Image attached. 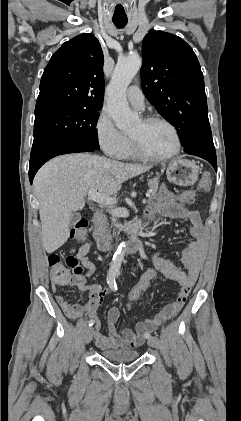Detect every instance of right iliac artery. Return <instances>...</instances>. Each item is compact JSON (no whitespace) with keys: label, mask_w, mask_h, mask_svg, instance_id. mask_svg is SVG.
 <instances>
[{"label":"right iliac artery","mask_w":241,"mask_h":421,"mask_svg":"<svg viewBox=\"0 0 241 421\" xmlns=\"http://www.w3.org/2000/svg\"><path fill=\"white\" fill-rule=\"evenodd\" d=\"M115 276L116 273L113 270H110L107 276V283L110 287L111 290L116 291L117 290V285H116V281H115ZM94 321L93 320H89L88 321V326H93Z\"/></svg>","instance_id":"82829eb1"}]
</instances>
